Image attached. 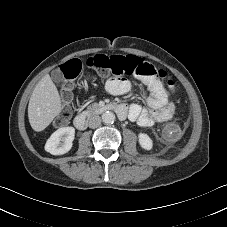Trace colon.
Wrapping results in <instances>:
<instances>
[{"mask_svg":"<svg viewBox=\"0 0 227 227\" xmlns=\"http://www.w3.org/2000/svg\"><path fill=\"white\" fill-rule=\"evenodd\" d=\"M86 64L91 69L102 75H132L153 79L165 78L166 73L162 69H158L150 63H147L140 58L127 55H103L97 54L87 59ZM82 69V63L78 59H72L65 63L61 68L63 83L61 87V97L65 104H68L72 98L74 91V79ZM167 86L170 89L175 88L173 80L167 81ZM72 115L71 109L67 106L61 115L56 119L55 124L58 127L65 125ZM184 131V128H182Z\"/></svg>","mask_w":227,"mask_h":227,"instance_id":"obj_1","label":"colon"}]
</instances>
